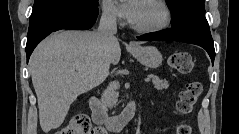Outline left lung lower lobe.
<instances>
[{
    "mask_svg": "<svg viewBox=\"0 0 239 134\" xmlns=\"http://www.w3.org/2000/svg\"><path fill=\"white\" fill-rule=\"evenodd\" d=\"M137 38L142 41H179L196 44L203 47L212 63L214 62L215 49L205 16L191 15L168 30L144 34Z\"/></svg>",
    "mask_w": 239,
    "mask_h": 134,
    "instance_id": "0a47b994",
    "label": "left lung lower lobe"
}]
</instances>
